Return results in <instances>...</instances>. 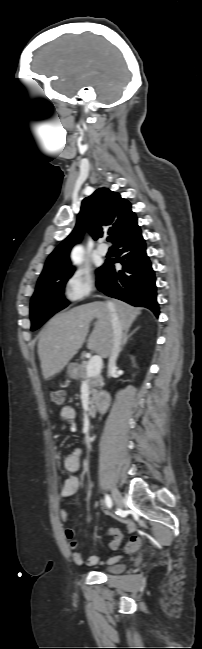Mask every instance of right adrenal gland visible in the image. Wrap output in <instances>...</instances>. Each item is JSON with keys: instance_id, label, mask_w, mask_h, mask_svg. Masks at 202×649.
Instances as JSON below:
<instances>
[{"instance_id": "right-adrenal-gland-1", "label": "right adrenal gland", "mask_w": 202, "mask_h": 649, "mask_svg": "<svg viewBox=\"0 0 202 649\" xmlns=\"http://www.w3.org/2000/svg\"><path fill=\"white\" fill-rule=\"evenodd\" d=\"M138 329H139V327L136 328V329H135L133 332H131L130 334H129V330H130L129 328H126V329L124 330V334H123V339H122V344H121V348H120L119 355H120V353L123 351V348H124V346L126 345L128 339H129V338H130V337H131V336H132V335H133V334H134ZM119 355H118V357H119Z\"/></svg>"}]
</instances>
